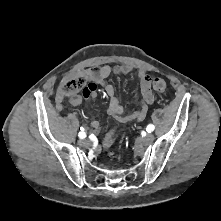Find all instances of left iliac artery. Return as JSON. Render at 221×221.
I'll list each match as a JSON object with an SVG mask.
<instances>
[{
	"mask_svg": "<svg viewBox=\"0 0 221 221\" xmlns=\"http://www.w3.org/2000/svg\"><path fill=\"white\" fill-rule=\"evenodd\" d=\"M155 129V126L153 124H149L147 127H146V131L147 132H153Z\"/></svg>",
	"mask_w": 221,
	"mask_h": 221,
	"instance_id": "1",
	"label": "left iliac artery"
}]
</instances>
